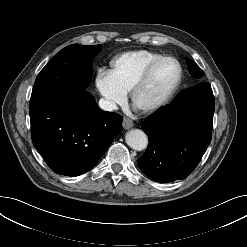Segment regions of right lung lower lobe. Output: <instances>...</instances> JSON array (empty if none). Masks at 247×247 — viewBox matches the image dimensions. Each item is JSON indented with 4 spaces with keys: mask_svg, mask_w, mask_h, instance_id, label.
Segmentation results:
<instances>
[{
    "mask_svg": "<svg viewBox=\"0 0 247 247\" xmlns=\"http://www.w3.org/2000/svg\"><path fill=\"white\" fill-rule=\"evenodd\" d=\"M32 141L57 174L79 176L90 170L120 133L122 117L101 111L94 97L49 89L30 99Z\"/></svg>",
    "mask_w": 247,
    "mask_h": 247,
    "instance_id": "obj_1",
    "label": "right lung lower lobe"
}]
</instances>
